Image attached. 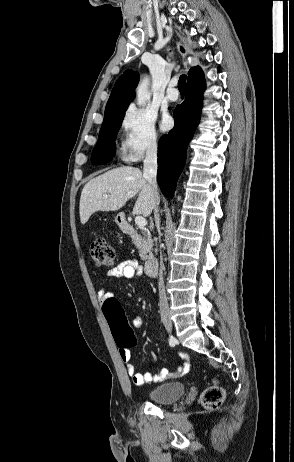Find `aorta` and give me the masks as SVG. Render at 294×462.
I'll return each instance as SVG.
<instances>
[{
  "label": "aorta",
  "instance_id": "762f6f07",
  "mask_svg": "<svg viewBox=\"0 0 294 462\" xmlns=\"http://www.w3.org/2000/svg\"><path fill=\"white\" fill-rule=\"evenodd\" d=\"M149 87V79H143L137 87L136 95H137V104L143 105L146 103L147 100L150 99V93L148 90Z\"/></svg>",
  "mask_w": 294,
  "mask_h": 462
}]
</instances>
